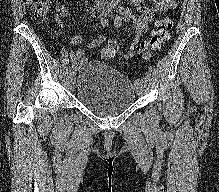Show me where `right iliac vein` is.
<instances>
[{"mask_svg": "<svg viewBox=\"0 0 219 192\" xmlns=\"http://www.w3.org/2000/svg\"><path fill=\"white\" fill-rule=\"evenodd\" d=\"M75 80V72L71 71L70 72V81L73 82Z\"/></svg>", "mask_w": 219, "mask_h": 192, "instance_id": "right-iliac-vein-1", "label": "right iliac vein"}]
</instances>
